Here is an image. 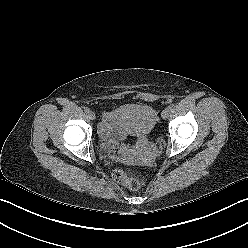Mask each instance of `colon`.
Segmentation results:
<instances>
[{"mask_svg": "<svg viewBox=\"0 0 248 248\" xmlns=\"http://www.w3.org/2000/svg\"><path fill=\"white\" fill-rule=\"evenodd\" d=\"M112 177L116 183L126 186L131 190H137L144 184L143 177H133L132 172L125 169L115 170Z\"/></svg>", "mask_w": 248, "mask_h": 248, "instance_id": "5ec220e1", "label": "colon"}]
</instances>
